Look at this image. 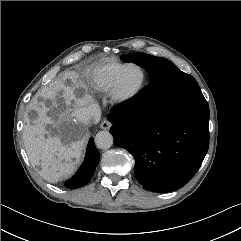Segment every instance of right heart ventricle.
I'll list each match as a JSON object with an SVG mask.
<instances>
[{"mask_svg":"<svg viewBox=\"0 0 241 241\" xmlns=\"http://www.w3.org/2000/svg\"><path fill=\"white\" fill-rule=\"evenodd\" d=\"M126 63L108 61L91 66L85 73L89 86L98 93H106L111 90L117 73Z\"/></svg>","mask_w":241,"mask_h":241,"instance_id":"right-heart-ventricle-1","label":"right heart ventricle"}]
</instances>
